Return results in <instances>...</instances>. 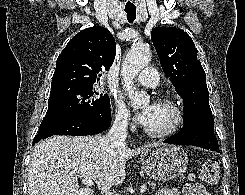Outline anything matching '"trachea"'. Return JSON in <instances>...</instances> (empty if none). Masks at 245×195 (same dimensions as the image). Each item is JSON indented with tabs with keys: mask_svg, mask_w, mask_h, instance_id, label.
Masks as SVG:
<instances>
[{
	"mask_svg": "<svg viewBox=\"0 0 245 195\" xmlns=\"http://www.w3.org/2000/svg\"><path fill=\"white\" fill-rule=\"evenodd\" d=\"M125 12L127 14V20L132 23L136 18V7H126Z\"/></svg>",
	"mask_w": 245,
	"mask_h": 195,
	"instance_id": "3493384b",
	"label": "trachea"
}]
</instances>
